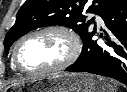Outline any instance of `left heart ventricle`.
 <instances>
[{
	"mask_svg": "<svg viewBox=\"0 0 127 92\" xmlns=\"http://www.w3.org/2000/svg\"><path fill=\"white\" fill-rule=\"evenodd\" d=\"M70 52V41L57 32L38 34L20 47L19 60L25 69L36 70L56 66Z\"/></svg>",
	"mask_w": 127,
	"mask_h": 92,
	"instance_id": "1",
	"label": "left heart ventricle"
}]
</instances>
